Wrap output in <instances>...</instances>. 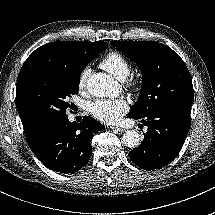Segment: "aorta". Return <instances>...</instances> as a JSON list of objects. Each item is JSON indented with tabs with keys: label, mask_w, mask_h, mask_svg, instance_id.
Returning <instances> with one entry per match:
<instances>
[{
	"label": "aorta",
	"mask_w": 215,
	"mask_h": 215,
	"mask_svg": "<svg viewBox=\"0 0 215 215\" xmlns=\"http://www.w3.org/2000/svg\"><path fill=\"white\" fill-rule=\"evenodd\" d=\"M113 86L111 77L105 73H94L87 80L88 92L96 97H105ZM123 144L129 148H137L141 143V135L136 130H127L122 137Z\"/></svg>",
	"instance_id": "obj_1"
}]
</instances>
